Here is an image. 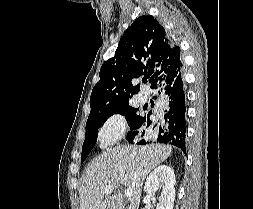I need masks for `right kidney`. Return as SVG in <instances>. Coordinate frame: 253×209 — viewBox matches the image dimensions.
<instances>
[{
	"mask_svg": "<svg viewBox=\"0 0 253 209\" xmlns=\"http://www.w3.org/2000/svg\"><path fill=\"white\" fill-rule=\"evenodd\" d=\"M175 174L171 167L161 165L155 168L147 177L144 191L146 196L143 201L148 206H151V201L154 200L156 187H162V193L159 197V203L156 209H173L175 200Z\"/></svg>",
	"mask_w": 253,
	"mask_h": 209,
	"instance_id": "1",
	"label": "right kidney"
}]
</instances>
